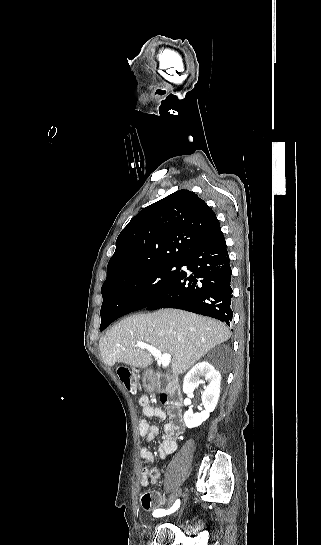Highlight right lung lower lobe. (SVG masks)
Wrapping results in <instances>:
<instances>
[{"label":"right lung lower lobe","mask_w":321,"mask_h":545,"mask_svg":"<svg viewBox=\"0 0 321 545\" xmlns=\"http://www.w3.org/2000/svg\"><path fill=\"white\" fill-rule=\"evenodd\" d=\"M184 265L195 276H187L185 271L179 272L165 290L147 305L125 297L109 299L101 307V318L105 320L101 331L117 318L143 308H178L230 325L233 317L230 307L232 270L221 228L199 245L181 264Z\"/></svg>","instance_id":"1"}]
</instances>
